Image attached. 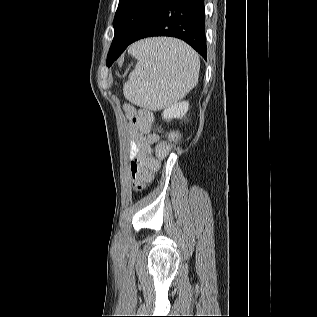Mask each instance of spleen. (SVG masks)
Returning a JSON list of instances; mask_svg holds the SVG:
<instances>
[{"label":"spleen","mask_w":317,"mask_h":317,"mask_svg":"<svg viewBox=\"0 0 317 317\" xmlns=\"http://www.w3.org/2000/svg\"><path fill=\"white\" fill-rule=\"evenodd\" d=\"M137 59L123 87L131 103L153 111L183 99L198 83L200 60L186 43L173 38H151L129 48Z\"/></svg>","instance_id":"3e777b00"}]
</instances>
